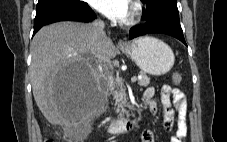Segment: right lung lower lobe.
<instances>
[{"mask_svg": "<svg viewBox=\"0 0 227 142\" xmlns=\"http://www.w3.org/2000/svg\"><path fill=\"white\" fill-rule=\"evenodd\" d=\"M94 18H96V16L87 3L76 7H61L37 11L34 20L33 35L41 27L50 23L65 20L89 22L92 21Z\"/></svg>", "mask_w": 227, "mask_h": 142, "instance_id": "98d812e1", "label": "right lung lower lobe"}]
</instances>
